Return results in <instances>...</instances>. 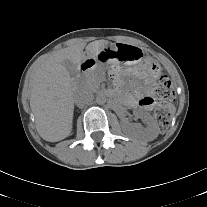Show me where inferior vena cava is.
Here are the masks:
<instances>
[{
  "label": "inferior vena cava",
  "mask_w": 207,
  "mask_h": 207,
  "mask_svg": "<svg viewBox=\"0 0 207 207\" xmlns=\"http://www.w3.org/2000/svg\"><path fill=\"white\" fill-rule=\"evenodd\" d=\"M93 99H94V96H93L92 92H90L87 89H81L76 93V95L74 97V102L78 106L82 107L86 104L91 103L93 101Z\"/></svg>",
  "instance_id": "602c4592"
}]
</instances>
